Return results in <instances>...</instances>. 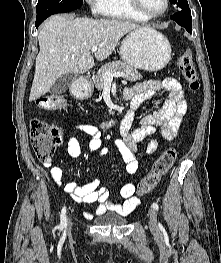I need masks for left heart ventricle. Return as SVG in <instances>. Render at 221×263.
<instances>
[{"label": "left heart ventricle", "mask_w": 221, "mask_h": 263, "mask_svg": "<svg viewBox=\"0 0 221 263\" xmlns=\"http://www.w3.org/2000/svg\"><path fill=\"white\" fill-rule=\"evenodd\" d=\"M145 12L154 14L162 11L165 7V0H140Z\"/></svg>", "instance_id": "b2bd125f"}]
</instances>
